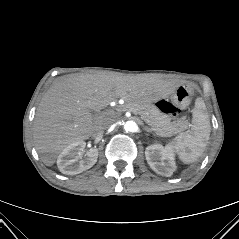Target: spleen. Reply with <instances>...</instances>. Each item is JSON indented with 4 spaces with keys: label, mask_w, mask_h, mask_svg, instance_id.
<instances>
[{
    "label": "spleen",
    "mask_w": 239,
    "mask_h": 239,
    "mask_svg": "<svg viewBox=\"0 0 239 239\" xmlns=\"http://www.w3.org/2000/svg\"><path fill=\"white\" fill-rule=\"evenodd\" d=\"M192 116L191 129L180 133L170 143L185 164L194 163L202 156L211 132L209 115L202 98L196 99Z\"/></svg>",
    "instance_id": "1"
}]
</instances>
